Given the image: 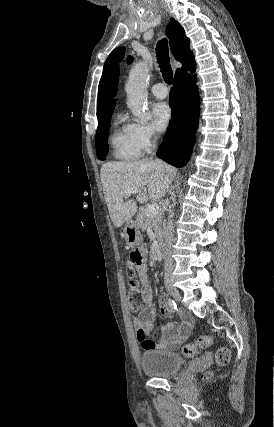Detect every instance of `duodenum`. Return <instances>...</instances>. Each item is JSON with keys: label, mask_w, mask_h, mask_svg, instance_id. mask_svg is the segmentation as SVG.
<instances>
[{"label": "duodenum", "mask_w": 274, "mask_h": 427, "mask_svg": "<svg viewBox=\"0 0 274 427\" xmlns=\"http://www.w3.org/2000/svg\"><path fill=\"white\" fill-rule=\"evenodd\" d=\"M156 254L159 256H163L164 255V246L162 243H159L156 247Z\"/></svg>", "instance_id": "obj_1"}]
</instances>
